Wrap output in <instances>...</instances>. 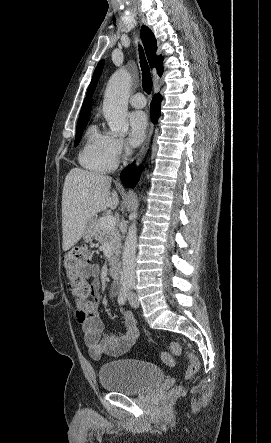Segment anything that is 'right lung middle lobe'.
<instances>
[{
  "instance_id": "right-lung-middle-lobe-1",
  "label": "right lung middle lobe",
  "mask_w": 271,
  "mask_h": 443,
  "mask_svg": "<svg viewBox=\"0 0 271 443\" xmlns=\"http://www.w3.org/2000/svg\"><path fill=\"white\" fill-rule=\"evenodd\" d=\"M87 121H88V118L78 120L77 129H76V137H75V142H74L75 147L79 144V142L81 140V136H82L84 128L87 124Z\"/></svg>"
}]
</instances>
